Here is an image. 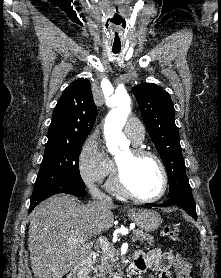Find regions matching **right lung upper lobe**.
<instances>
[{
  "label": "right lung upper lobe",
  "mask_w": 221,
  "mask_h": 278,
  "mask_svg": "<svg viewBox=\"0 0 221 278\" xmlns=\"http://www.w3.org/2000/svg\"><path fill=\"white\" fill-rule=\"evenodd\" d=\"M96 115L90 81L83 78L74 81L63 92L53 111L47 144L87 137Z\"/></svg>",
  "instance_id": "right-lung-upper-lobe-1"
}]
</instances>
